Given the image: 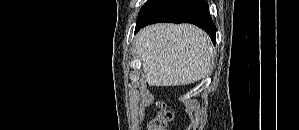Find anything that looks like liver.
Listing matches in <instances>:
<instances>
[{
	"label": "liver",
	"instance_id": "6515ba94",
	"mask_svg": "<svg viewBox=\"0 0 299 130\" xmlns=\"http://www.w3.org/2000/svg\"><path fill=\"white\" fill-rule=\"evenodd\" d=\"M146 81L152 86H182L208 76L214 65L209 36L191 24H154L135 37Z\"/></svg>",
	"mask_w": 299,
	"mask_h": 130
}]
</instances>
